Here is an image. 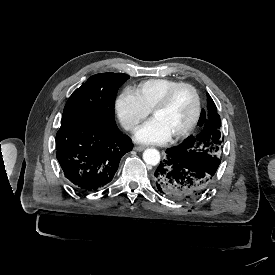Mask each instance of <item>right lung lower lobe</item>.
Here are the masks:
<instances>
[{
  "label": "right lung lower lobe",
  "mask_w": 275,
  "mask_h": 275,
  "mask_svg": "<svg viewBox=\"0 0 275 275\" xmlns=\"http://www.w3.org/2000/svg\"><path fill=\"white\" fill-rule=\"evenodd\" d=\"M131 139L118 127H101L83 118H67L56 135L57 159L71 185L83 192L109 183Z\"/></svg>",
  "instance_id": "right-lung-lower-lobe-1"
}]
</instances>
